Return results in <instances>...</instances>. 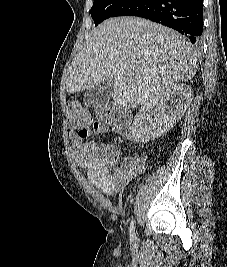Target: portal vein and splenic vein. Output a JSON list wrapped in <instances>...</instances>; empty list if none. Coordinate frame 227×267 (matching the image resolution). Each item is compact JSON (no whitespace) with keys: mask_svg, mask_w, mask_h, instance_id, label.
<instances>
[{"mask_svg":"<svg viewBox=\"0 0 227 267\" xmlns=\"http://www.w3.org/2000/svg\"><path fill=\"white\" fill-rule=\"evenodd\" d=\"M126 74H127L128 76L133 75V74H132V71H129V70L126 72Z\"/></svg>","mask_w":227,"mask_h":267,"instance_id":"obj_1","label":"portal vein and splenic vein"}]
</instances>
